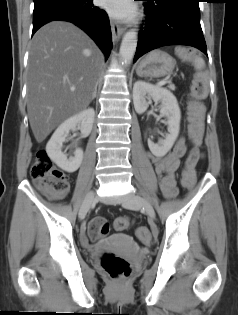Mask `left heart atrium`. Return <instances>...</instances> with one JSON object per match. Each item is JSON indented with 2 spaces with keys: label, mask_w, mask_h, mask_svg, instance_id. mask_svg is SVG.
<instances>
[{
  "label": "left heart atrium",
  "mask_w": 238,
  "mask_h": 315,
  "mask_svg": "<svg viewBox=\"0 0 238 315\" xmlns=\"http://www.w3.org/2000/svg\"><path fill=\"white\" fill-rule=\"evenodd\" d=\"M100 3L109 14L116 18L125 19L134 12L130 0H100Z\"/></svg>",
  "instance_id": "left-heart-atrium-1"
}]
</instances>
